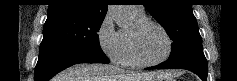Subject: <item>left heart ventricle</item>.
Here are the masks:
<instances>
[{
  "instance_id": "left-heart-ventricle-1",
  "label": "left heart ventricle",
  "mask_w": 237,
  "mask_h": 81,
  "mask_svg": "<svg viewBox=\"0 0 237 81\" xmlns=\"http://www.w3.org/2000/svg\"><path fill=\"white\" fill-rule=\"evenodd\" d=\"M136 44L140 56L146 61H156L167 51V40L155 26H148L141 31Z\"/></svg>"
}]
</instances>
